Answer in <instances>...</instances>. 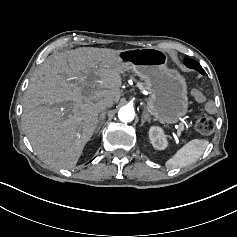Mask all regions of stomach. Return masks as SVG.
<instances>
[{"label": "stomach", "instance_id": "stomach-1", "mask_svg": "<svg viewBox=\"0 0 237 237\" xmlns=\"http://www.w3.org/2000/svg\"><path fill=\"white\" fill-rule=\"evenodd\" d=\"M119 69L132 70L145 81L149 96L146 111L155 121L176 124L189 109L188 87L184 76L167 67V55L155 47L136 48L120 53Z\"/></svg>", "mask_w": 237, "mask_h": 237}]
</instances>
